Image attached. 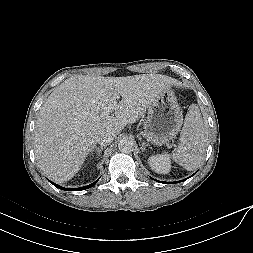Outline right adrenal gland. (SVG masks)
Masks as SVG:
<instances>
[{
    "label": "right adrenal gland",
    "mask_w": 253,
    "mask_h": 253,
    "mask_svg": "<svg viewBox=\"0 0 253 253\" xmlns=\"http://www.w3.org/2000/svg\"><path fill=\"white\" fill-rule=\"evenodd\" d=\"M103 149H104L103 146L100 147L93 146L90 152L93 153L96 151L99 157Z\"/></svg>",
    "instance_id": "1"
}]
</instances>
